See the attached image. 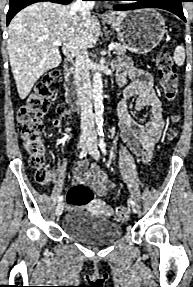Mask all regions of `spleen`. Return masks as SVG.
<instances>
[{
  "label": "spleen",
  "instance_id": "1",
  "mask_svg": "<svg viewBox=\"0 0 193 287\" xmlns=\"http://www.w3.org/2000/svg\"><path fill=\"white\" fill-rule=\"evenodd\" d=\"M173 59H174V62L179 66H182L184 64V61H185V49H184V47L177 46L175 48Z\"/></svg>",
  "mask_w": 193,
  "mask_h": 287
}]
</instances>
